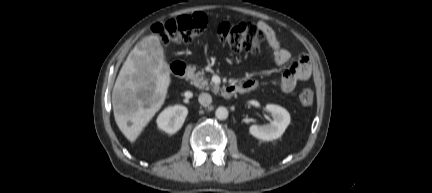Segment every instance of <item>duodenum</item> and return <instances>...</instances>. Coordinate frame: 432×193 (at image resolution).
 I'll list each match as a JSON object with an SVG mask.
<instances>
[{
  "label": "duodenum",
  "instance_id": "obj_1",
  "mask_svg": "<svg viewBox=\"0 0 432 193\" xmlns=\"http://www.w3.org/2000/svg\"><path fill=\"white\" fill-rule=\"evenodd\" d=\"M171 70L174 75L181 79H187L192 75L191 68L187 64L179 61L171 64ZM237 92H241L239 86L228 85L222 89L221 94L224 98H231Z\"/></svg>",
  "mask_w": 432,
  "mask_h": 193
}]
</instances>
